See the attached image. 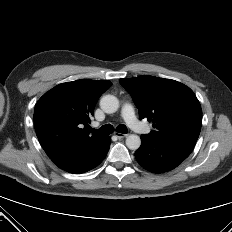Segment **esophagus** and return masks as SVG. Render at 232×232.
I'll list each match as a JSON object with an SVG mask.
<instances>
[{
    "mask_svg": "<svg viewBox=\"0 0 232 232\" xmlns=\"http://www.w3.org/2000/svg\"><path fill=\"white\" fill-rule=\"evenodd\" d=\"M114 135H115L116 137H118L119 139L125 138V137L128 136V134H122V133H118V132H115Z\"/></svg>",
    "mask_w": 232,
    "mask_h": 232,
    "instance_id": "esophagus-1",
    "label": "esophagus"
}]
</instances>
